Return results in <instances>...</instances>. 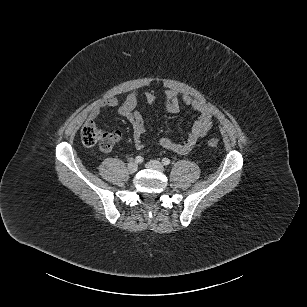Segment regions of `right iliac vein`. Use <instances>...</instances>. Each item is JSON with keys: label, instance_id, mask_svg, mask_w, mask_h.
<instances>
[{"label": "right iliac vein", "instance_id": "right-iliac-vein-1", "mask_svg": "<svg viewBox=\"0 0 307 307\" xmlns=\"http://www.w3.org/2000/svg\"><path fill=\"white\" fill-rule=\"evenodd\" d=\"M127 168L130 173H134L137 171L138 165L136 163L131 162L128 164Z\"/></svg>", "mask_w": 307, "mask_h": 307}]
</instances>
